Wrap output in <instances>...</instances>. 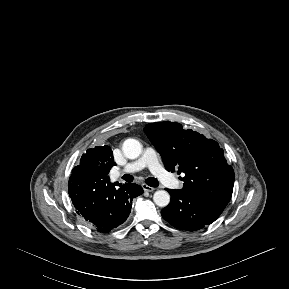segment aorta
Masks as SVG:
<instances>
[{"label":"aorta","mask_w":289,"mask_h":289,"mask_svg":"<svg viewBox=\"0 0 289 289\" xmlns=\"http://www.w3.org/2000/svg\"><path fill=\"white\" fill-rule=\"evenodd\" d=\"M122 150L129 159H136L142 152V145L136 139H127L124 141ZM154 203L159 207H166L170 202V195L165 190H158L153 195Z\"/></svg>","instance_id":"762f6f07"}]
</instances>
